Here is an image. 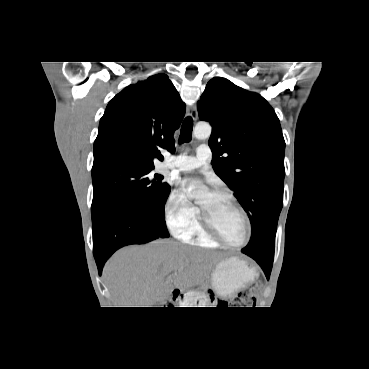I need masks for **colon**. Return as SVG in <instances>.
I'll return each mask as SVG.
<instances>
[{
  "instance_id": "obj_1",
  "label": "colon",
  "mask_w": 369,
  "mask_h": 369,
  "mask_svg": "<svg viewBox=\"0 0 369 369\" xmlns=\"http://www.w3.org/2000/svg\"><path fill=\"white\" fill-rule=\"evenodd\" d=\"M262 283L257 282L248 290L240 292L233 303L219 302L222 306L234 304L236 307H253L257 301V295L262 289Z\"/></svg>"
}]
</instances>
